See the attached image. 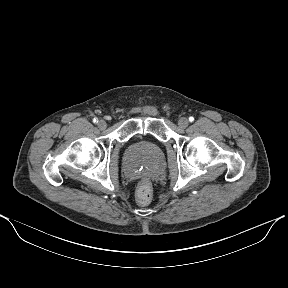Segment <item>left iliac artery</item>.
Instances as JSON below:
<instances>
[{
	"mask_svg": "<svg viewBox=\"0 0 288 288\" xmlns=\"http://www.w3.org/2000/svg\"><path fill=\"white\" fill-rule=\"evenodd\" d=\"M189 121H190V122H193V121H194V117H192V116L189 117Z\"/></svg>",
	"mask_w": 288,
	"mask_h": 288,
	"instance_id": "obj_1",
	"label": "left iliac artery"
}]
</instances>
